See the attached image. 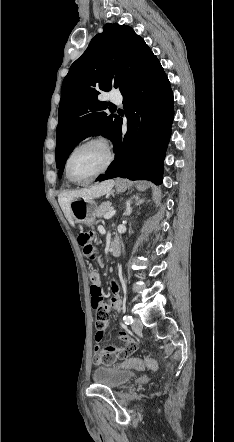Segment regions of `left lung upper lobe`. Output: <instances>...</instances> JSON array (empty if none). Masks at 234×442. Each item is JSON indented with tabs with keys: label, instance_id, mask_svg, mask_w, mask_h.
Returning <instances> with one entry per match:
<instances>
[{
	"label": "left lung upper lobe",
	"instance_id": "5c2ea615",
	"mask_svg": "<svg viewBox=\"0 0 234 442\" xmlns=\"http://www.w3.org/2000/svg\"><path fill=\"white\" fill-rule=\"evenodd\" d=\"M152 54L145 41L127 25L107 23L85 52L71 65L63 80L56 130V165L61 177L73 148L89 136L102 135L112 142L119 117L104 112L102 91H123L141 73Z\"/></svg>",
	"mask_w": 234,
	"mask_h": 442
}]
</instances>
